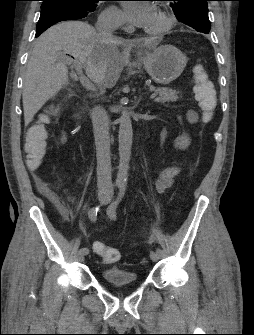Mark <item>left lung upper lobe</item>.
<instances>
[{
	"mask_svg": "<svg viewBox=\"0 0 254 335\" xmlns=\"http://www.w3.org/2000/svg\"><path fill=\"white\" fill-rule=\"evenodd\" d=\"M177 19L203 33H209L208 1L210 0H167Z\"/></svg>",
	"mask_w": 254,
	"mask_h": 335,
	"instance_id": "left-lung-upper-lobe-1",
	"label": "left lung upper lobe"
}]
</instances>
